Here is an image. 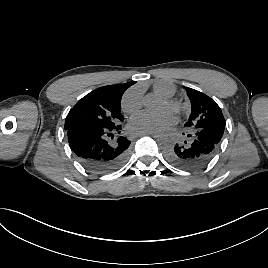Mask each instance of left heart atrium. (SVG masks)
<instances>
[{
	"mask_svg": "<svg viewBox=\"0 0 268 268\" xmlns=\"http://www.w3.org/2000/svg\"><path fill=\"white\" fill-rule=\"evenodd\" d=\"M176 116L171 111L163 112L157 118H150L145 113L135 114L130 119V128L133 130H152L156 125L170 126L175 124Z\"/></svg>",
	"mask_w": 268,
	"mask_h": 268,
	"instance_id": "left-heart-atrium-1",
	"label": "left heart atrium"
}]
</instances>
